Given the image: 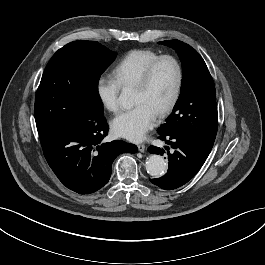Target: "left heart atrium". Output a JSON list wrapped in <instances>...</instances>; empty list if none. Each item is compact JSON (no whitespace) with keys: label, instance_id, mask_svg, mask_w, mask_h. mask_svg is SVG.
<instances>
[{"label":"left heart atrium","instance_id":"left-heart-atrium-1","mask_svg":"<svg viewBox=\"0 0 265 265\" xmlns=\"http://www.w3.org/2000/svg\"><path fill=\"white\" fill-rule=\"evenodd\" d=\"M157 115L146 105L137 104L116 116L111 122L113 132L133 142L142 141L153 128Z\"/></svg>","mask_w":265,"mask_h":265}]
</instances>
